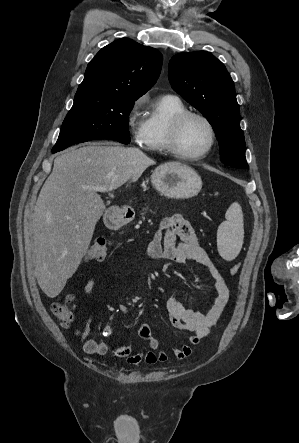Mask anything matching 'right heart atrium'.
<instances>
[{
	"label": "right heart atrium",
	"instance_id": "right-heart-atrium-1",
	"mask_svg": "<svg viewBox=\"0 0 299 443\" xmlns=\"http://www.w3.org/2000/svg\"><path fill=\"white\" fill-rule=\"evenodd\" d=\"M144 101H145L144 96L136 99L132 103L127 113V126L129 133L132 136V138L137 142H140L144 131L145 121L141 119V109L144 104Z\"/></svg>",
	"mask_w": 299,
	"mask_h": 443
}]
</instances>
